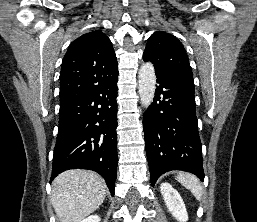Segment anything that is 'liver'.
Instances as JSON below:
<instances>
[{"label":"liver","instance_id":"liver-1","mask_svg":"<svg viewBox=\"0 0 257 222\" xmlns=\"http://www.w3.org/2000/svg\"><path fill=\"white\" fill-rule=\"evenodd\" d=\"M51 203L60 222H81L104 201L106 185L92 171L68 170L53 181Z\"/></svg>","mask_w":257,"mask_h":222}]
</instances>
